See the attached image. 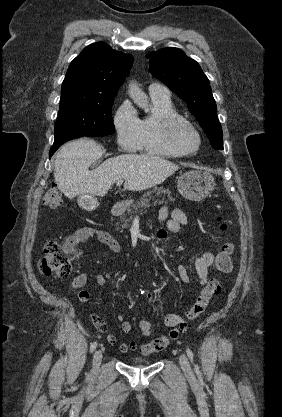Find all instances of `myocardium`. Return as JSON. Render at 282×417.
<instances>
[{
  "label": "myocardium",
  "instance_id": "obj_1",
  "mask_svg": "<svg viewBox=\"0 0 282 417\" xmlns=\"http://www.w3.org/2000/svg\"><path fill=\"white\" fill-rule=\"evenodd\" d=\"M159 122L164 126L166 133L164 140L166 144L176 153L180 155H190L193 151L185 149L178 140V131L181 129L191 132L200 143L199 132L184 117L178 114H163L159 118Z\"/></svg>",
  "mask_w": 282,
  "mask_h": 417
}]
</instances>
